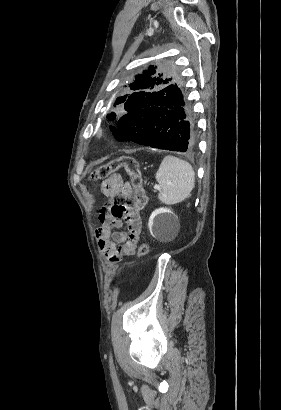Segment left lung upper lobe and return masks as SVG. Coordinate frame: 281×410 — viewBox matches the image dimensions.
Here are the masks:
<instances>
[{"label":"left lung upper lobe","instance_id":"1","mask_svg":"<svg viewBox=\"0 0 281 410\" xmlns=\"http://www.w3.org/2000/svg\"><path fill=\"white\" fill-rule=\"evenodd\" d=\"M179 80V74L171 65L149 66L143 74L135 77L134 82L127 87L129 93L117 98L115 104H121V107L127 111L125 115L136 113L149 103L156 92L171 84L178 83ZM107 118L115 120L117 116L112 112L107 115ZM112 129L115 127H111V131Z\"/></svg>","mask_w":281,"mask_h":410}]
</instances>
